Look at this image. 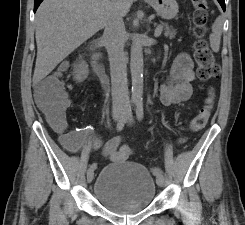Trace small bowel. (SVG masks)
Wrapping results in <instances>:
<instances>
[{"instance_id":"small-bowel-1","label":"small bowel","mask_w":245,"mask_h":225,"mask_svg":"<svg viewBox=\"0 0 245 225\" xmlns=\"http://www.w3.org/2000/svg\"><path fill=\"white\" fill-rule=\"evenodd\" d=\"M66 65V63L63 64V66ZM194 79L191 57L187 53H180L170 69L166 82L160 89L161 103L169 106L189 99L193 92ZM39 86L40 83L36 85V88ZM68 100L70 107V99ZM67 136L70 138L68 149L72 152L95 149L102 145L100 139L89 134L88 127L83 131L73 128L67 133ZM121 141L120 137H114L105 145L104 154L112 163L127 160L132 156L130 148L122 146Z\"/></svg>"}]
</instances>
